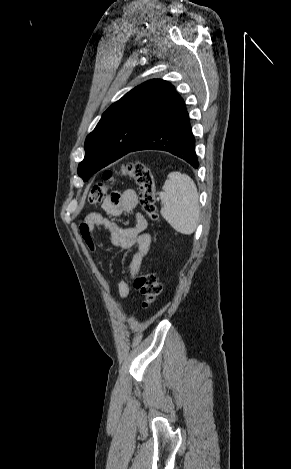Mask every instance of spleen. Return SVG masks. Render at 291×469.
Masks as SVG:
<instances>
[{"label": "spleen", "instance_id": "spleen-1", "mask_svg": "<svg viewBox=\"0 0 291 469\" xmlns=\"http://www.w3.org/2000/svg\"><path fill=\"white\" fill-rule=\"evenodd\" d=\"M160 193L161 215L177 232H195L200 213L199 195L194 181L180 172H171Z\"/></svg>", "mask_w": 291, "mask_h": 469}]
</instances>
